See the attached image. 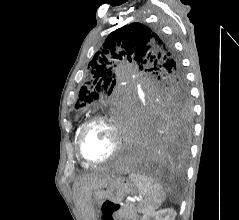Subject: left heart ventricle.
<instances>
[{"label": "left heart ventricle", "instance_id": "left-heart-ventricle-1", "mask_svg": "<svg viewBox=\"0 0 239 220\" xmlns=\"http://www.w3.org/2000/svg\"><path fill=\"white\" fill-rule=\"evenodd\" d=\"M116 136L110 125L99 123L92 126L84 138L83 150L92 160L108 157L114 150Z\"/></svg>", "mask_w": 239, "mask_h": 220}]
</instances>
